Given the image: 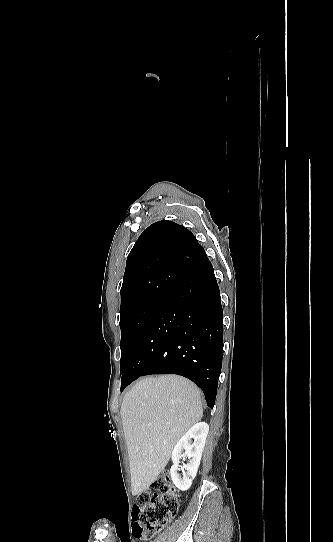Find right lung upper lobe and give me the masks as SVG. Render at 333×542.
Masks as SVG:
<instances>
[{
	"label": "right lung upper lobe",
	"mask_w": 333,
	"mask_h": 542,
	"mask_svg": "<svg viewBox=\"0 0 333 542\" xmlns=\"http://www.w3.org/2000/svg\"><path fill=\"white\" fill-rule=\"evenodd\" d=\"M169 248L190 253L203 249L194 235L181 225L165 220L150 225L128 255L120 291V311L153 294L168 293L186 276L161 260L160 252Z\"/></svg>",
	"instance_id": "cb5924a9"
}]
</instances>
